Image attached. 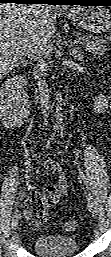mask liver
I'll list each match as a JSON object with an SVG mask.
<instances>
[{
    "instance_id": "obj_1",
    "label": "liver",
    "mask_w": 111,
    "mask_h": 257,
    "mask_svg": "<svg viewBox=\"0 0 111 257\" xmlns=\"http://www.w3.org/2000/svg\"><path fill=\"white\" fill-rule=\"evenodd\" d=\"M55 8L47 5L0 6V74L21 65L38 38L48 40L55 32Z\"/></svg>"
}]
</instances>
